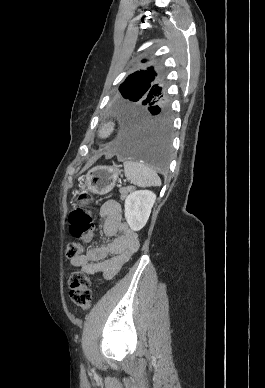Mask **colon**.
<instances>
[{
	"instance_id": "1",
	"label": "colon",
	"mask_w": 265,
	"mask_h": 388,
	"mask_svg": "<svg viewBox=\"0 0 265 388\" xmlns=\"http://www.w3.org/2000/svg\"><path fill=\"white\" fill-rule=\"evenodd\" d=\"M88 194L82 192L78 196L79 201L86 200ZM70 234L77 239L89 242L94 237L95 225L92 214L84 209L76 208L69 216ZM83 247L80 243H70L67 247L66 256L69 259L76 258L82 254ZM70 299L81 307L88 309L92 303L91 280L82 272H73L69 277Z\"/></svg>"
}]
</instances>
